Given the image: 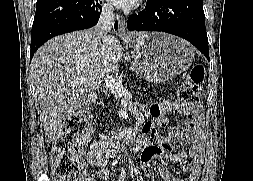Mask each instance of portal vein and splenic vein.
Returning a JSON list of instances; mask_svg holds the SVG:
<instances>
[{
    "label": "portal vein and splenic vein",
    "instance_id": "18ae733b",
    "mask_svg": "<svg viewBox=\"0 0 253 181\" xmlns=\"http://www.w3.org/2000/svg\"><path fill=\"white\" fill-rule=\"evenodd\" d=\"M104 79H105L104 81H105L106 86L109 87L113 92L123 91V87L117 79L109 75L106 76Z\"/></svg>",
    "mask_w": 253,
    "mask_h": 181
}]
</instances>
